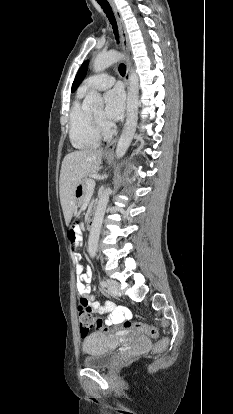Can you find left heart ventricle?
<instances>
[{
  "mask_svg": "<svg viewBox=\"0 0 233 414\" xmlns=\"http://www.w3.org/2000/svg\"><path fill=\"white\" fill-rule=\"evenodd\" d=\"M93 114H94V116L99 121H101L102 123L107 124L106 121H105V119H104V111H103V109H97V110L93 111Z\"/></svg>",
  "mask_w": 233,
  "mask_h": 414,
  "instance_id": "left-heart-ventricle-1",
  "label": "left heart ventricle"
}]
</instances>
